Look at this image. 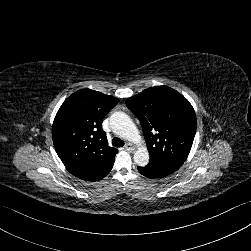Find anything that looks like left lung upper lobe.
<instances>
[{
    "label": "left lung upper lobe",
    "mask_w": 251,
    "mask_h": 251,
    "mask_svg": "<svg viewBox=\"0 0 251 251\" xmlns=\"http://www.w3.org/2000/svg\"><path fill=\"white\" fill-rule=\"evenodd\" d=\"M140 120L150 157L182 165L196 131V115L189 101L167 86L150 87L126 100Z\"/></svg>",
    "instance_id": "5c2ea615"
}]
</instances>
